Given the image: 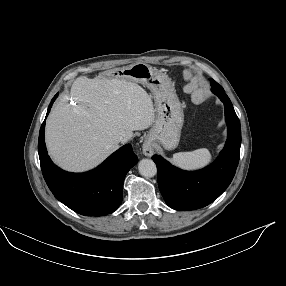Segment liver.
Wrapping results in <instances>:
<instances>
[{
  "mask_svg": "<svg viewBox=\"0 0 286 286\" xmlns=\"http://www.w3.org/2000/svg\"><path fill=\"white\" fill-rule=\"evenodd\" d=\"M71 93L76 106L64 95L51 111L45 141L54 162L69 171H86L103 162L133 131L155 121L153 102L139 85L118 78H77Z\"/></svg>",
  "mask_w": 286,
  "mask_h": 286,
  "instance_id": "6515ba94",
  "label": "liver"
}]
</instances>
